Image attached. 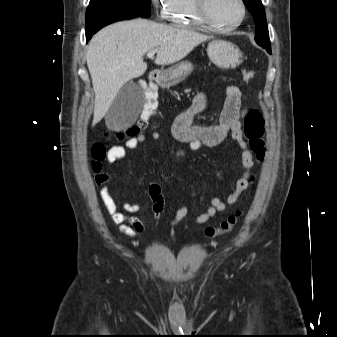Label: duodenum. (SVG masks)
<instances>
[{
  "label": "duodenum",
  "mask_w": 337,
  "mask_h": 337,
  "mask_svg": "<svg viewBox=\"0 0 337 337\" xmlns=\"http://www.w3.org/2000/svg\"><path fill=\"white\" fill-rule=\"evenodd\" d=\"M149 78L154 83H160L162 74L160 72L154 71L150 73Z\"/></svg>",
  "instance_id": "410a0bca"
}]
</instances>
